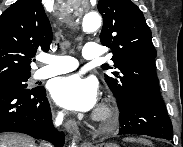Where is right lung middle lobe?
<instances>
[{"mask_svg":"<svg viewBox=\"0 0 183 147\" xmlns=\"http://www.w3.org/2000/svg\"><path fill=\"white\" fill-rule=\"evenodd\" d=\"M30 76L25 77H19V78H13V79H7L0 81V89L6 88V87H21L26 88L27 87V80Z\"/></svg>","mask_w":183,"mask_h":147,"instance_id":"right-lung-middle-lobe-1","label":"right lung middle lobe"}]
</instances>
